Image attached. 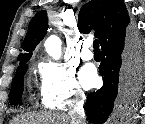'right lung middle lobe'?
<instances>
[{
    "label": "right lung middle lobe",
    "mask_w": 145,
    "mask_h": 124,
    "mask_svg": "<svg viewBox=\"0 0 145 124\" xmlns=\"http://www.w3.org/2000/svg\"><path fill=\"white\" fill-rule=\"evenodd\" d=\"M27 61L23 62L25 64ZM27 66L23 65L16 70V75L12 82V87L10 91L9 101L12 105H18L21 101V96L23 93L24 84V74L26 72Z\"/></svg>",
    "instance_id": "obj_1"
}]
</instances>
